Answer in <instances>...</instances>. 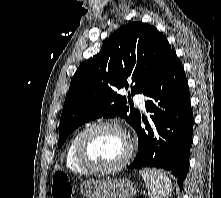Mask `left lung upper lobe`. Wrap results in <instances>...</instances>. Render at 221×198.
Instances as JSON below:
<instances>
[{
	"label": "left lung upper lobe",
	"mask_w": 221,
	"mask_h": 198,
	"mask_svg": "<svg viewBox=\"0 0 221 198\" xmlns=\"http://www.w3.org/2000/svg\"><path fill=\"white\" fill-rule=\"evenodd\" d=\"M173 53L154 26L132 22L119 28L72 77L60 118L58 147L76 128L96 118L118 115L134 127L140 113L127 106L130 93L127 101L117 91L130 89L132 96L144 93Z\"/></svg>",
	"instance_id": "5c2ea615"
}]
</instances>
